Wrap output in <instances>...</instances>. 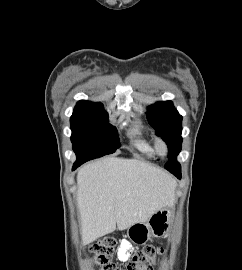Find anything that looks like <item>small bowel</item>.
Segmentation results:
<instances>
[{
  "label": "small bowel",
  "mask_w": 242,
  "mask_h": 270,
  "mask_svg": "<svg viewBox=\"0 0 242 270\" xmlns=\"http://www.w3.org/2000/svg\"><path fill=\"white\" fill-rule=\"evenodd\" d=\"M128 251H129V246L126 241H123L120 244L119 250H118V258L120 260H125L128 258Z\"/></svg>",
  "instance_id": "obj_1"
}]
</instances>
